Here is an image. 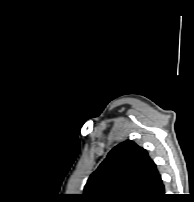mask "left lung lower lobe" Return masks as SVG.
I'll return each mask as SVG.
<instances>
[{
    "mask_svg": "<svg viewBox=\"0 0 194 202\" xmlns=\"http://www.w3.org/2000/svg\"><path fill=\"white\" fill-rule=\"evenodd\" d=\"M165 190H164V186L163 184L160 186V188L158 189L156 196L154 197V199L152 200V202H161L162 199L164 198L165 194H164Z\"/></svg>",
    "mask_w": 194,
    "mask_h": 202,
    "instance_id": "0a47b994",
    "label": "left lung lower lobe"
}]
</instances>
